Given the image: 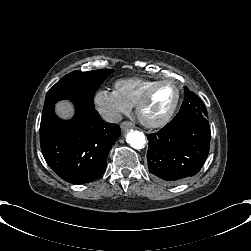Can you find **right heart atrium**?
Instances as JSON below:
<instances>
[{
	"mask_svg": "<svg viewBox=\"0 0 251 251\" xmlns=\"http://www.w3.org/2000/svg\"><path fill=\"white\" fill-rule=\"evenodd\" d=\"M96 111L109 123H116L123 114L131 110V105L123 101L114 90L99 89L92 97Z\"/></svg>",
	"mask_w": 251,
	"mask_h": 251,
	"instance_id": "d8ad5b80",
	"label": "right heart atrium"
}]
</instances>
